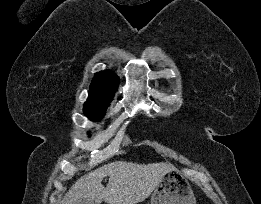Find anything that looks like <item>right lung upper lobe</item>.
I'll return each mask as SVG.
<instances>
[{
	"mask_svg": "<svg viewBox=\"0 0 261 204\" xmlns=\"http://www.w3.org/2000/svg\"><path fill=\"white\" fill-rule=\"evenodd\" d=\"M118 77L110 71L97 72L89 89V98L84 105L105 106L109 105L118 87Z\"/></svg>",
	"mask_w": 261,
	"mask_h": 204,
	"instance_id": "1",
	"label": "right lung upper lobe"
}]
</instances>
